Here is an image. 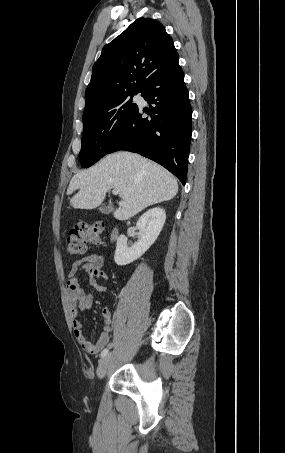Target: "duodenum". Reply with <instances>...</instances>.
Listing matches in <instances>:
<instances>
[{
  "label": "duodenum",
  "instance_id": "obj_1",
  "mask_svg": "<svg viewBox=\"0 0 285 453\" xmlns=\"http://www.w3.org/2000/svg\"><path fill=\"white\" fill-rule=\"evenodd\" d=\"M118 235V229L117 228H113L112 231H111V239H115Z\"/></svg>",
  "mask_w": 285,
  "mask_h": 453
}]
</instances>
